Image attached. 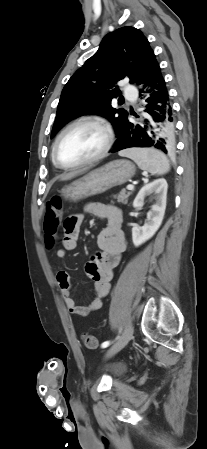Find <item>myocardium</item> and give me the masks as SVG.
Returning a JSON list of instances; mask_svg holds the SVG:
<instances>
[{"label": "myocardium", "instance_id": "obj_1", "mask_svg": "<svg viewBox=\"0 0 207 449\" xmlns=\"http://www.w3.org/2000/svg\"><path fill=\"white\" fill-rule=\"evenodd\" d=\"M78 125H90L93 127L98 128L104 135V145L102 147V149L100 150V152L93 156L92 158L82 161V162H78L75 164H64L60 161L58 154H57V149H58V145L62 139V137L73 127L78 126ZM113 140H114V134L113 131L111 129V127L104 121L99 120V119H93V118H81V119H77L73 122H71L70 124H68L57 136V138L55 139V142L53 144V148H52V158L54 163L61 169L64 170H72V169H77L80 167H84L87 165H91L93 163H96L98 161H100L101 159H103L109 152V150L112 147L113 144Z\"/></svg>", "mask_w": 207, "mask_h": 449}]
</instances>
